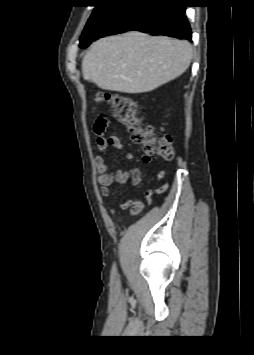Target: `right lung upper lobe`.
<instances>
[{
	"mask_svg": "<svg viewBox=\"0 0 254 355\" xmlns=\"http://www.w3.org/2000/svg\"><path fill=\"white\" fill-rule=\"evenodd\" d=\"M132 1H135V0H97V2H99V3L111 2V3H118V4L128 3V2H132Z\"/></svg>",
	"mask_w": 254,
	"mask_h": 355,
	"instance_id": "1",
	"label": "right lung upper lobe"
}]
</instances>
